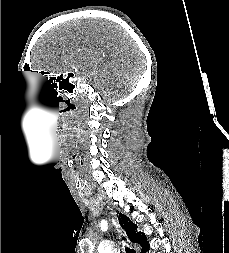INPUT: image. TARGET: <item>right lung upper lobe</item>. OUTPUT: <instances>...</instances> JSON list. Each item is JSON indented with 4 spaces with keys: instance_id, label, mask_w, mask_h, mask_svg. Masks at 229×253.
Returning <instances> with one entry per match:
<instances>
[{
    "instance_id": "cb5924a9",
    "label": "right lung upper lobe",
    "mask_w": 229,
    "mask_h": 253,
    "mask_svg": "<svg viewBox=\"0 0 229 253\" xmlns=\"http://www.w3.org/2000/svg\"><path fill=\"white\" fill-rule=\"evenodd\" d=\"M119 221L130 241L140 244L143 250L148 245L145 234L141 232L136 233L137 225L131 222L130 219L124 214L120 213Z\"/></svg>"
}]
</instances>
